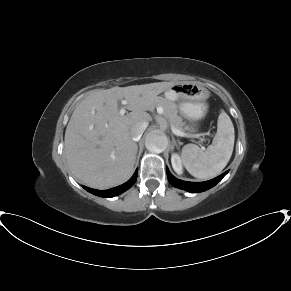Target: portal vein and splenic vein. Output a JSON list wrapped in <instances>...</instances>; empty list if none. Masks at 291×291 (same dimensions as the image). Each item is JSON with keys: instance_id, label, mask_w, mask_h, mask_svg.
<instances>
[{"instance_id": "18ae733b", "label": "portal vein and splenic vein", "mask_w": 291, "mask_h": 291, "mask_svg": "<svg viewBox=\"0 0 291 291\" xmlns=\"http://www.w3.org/2000/svg\"><path fill=\"white\" fill-rule=\"evenodd\" d=\"M122 104H123V105H126V104H127V101L123 100V101H122ZM125 112H126V110H125L124 107H122V108L120 109V111H119V113H120L121 116H123V115L125 114ZM158 113H159V114H162V113H163V109L160 108L159 111H158ZM171 131H172V133H173L174 135H176V136H181V137H182V136H185V135H186L185 133H183L182 131L178 130L177 128H175V127H173V126H171ZM202 149L204 150L205 148L202 147Z\"/></svg>"}]
</instances>
